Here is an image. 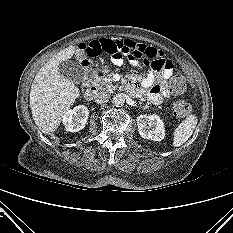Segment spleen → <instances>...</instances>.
I'll list each match as a JSON object with an SVG mask.
<instances>
[{
	"label": "spleen",
	"instance_id": "1",
	"mask_svg": "<svg viewBox=\"0 0 233 233\" xmlns=\"http://www.w3.org/2000/svg\"><path fill=\"white\" fill-rule=\"evenodd\" d=\"M197 122V116L194 114H190L179 124L173 134L174 147L181 146L191 137L196 128Z\"/></svg>",
	"mask_w": 233,
	"mask_h": 233
}]
</instances>
